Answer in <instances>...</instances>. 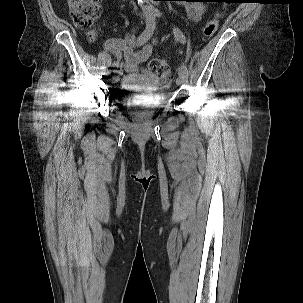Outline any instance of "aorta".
<instances>
[{"label":"aorta","mask_w":303,"mask_h":303,"mask_svg":"<svg viewBox=\"0 0 303 303\" xmlns=\"http://www.w3.org/2000/svg\"><path fill=\"white\" fill-rule=\"evenodd\" d=\"M141 5L144 7H149L150 6V1L149 0H138Z\"/></svg>","instance_id":"obj_1"}]
</instances>
